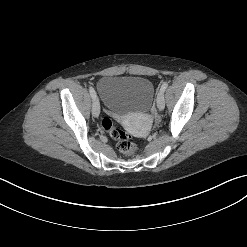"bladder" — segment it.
Returning <instances> with one entry per match:
<instances>
[{
	"label": "bladder",
	"instance_id": "obj_1",
	"mask_svg": "<svg viewBox=\"0 0 247 247\" xmlns=\"http://www.w3.org/2000/svg\"><path fill=\"white\" fill-rule=\"evenodd\" d=\"M96 91L115 117L129 112H147L154 95L152 82L136 76L103 77L98 81Z\"/></svg>",
	"mask_w": 247,
	"mask_h": 247
}]
</instances>
